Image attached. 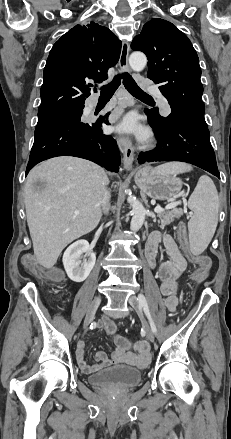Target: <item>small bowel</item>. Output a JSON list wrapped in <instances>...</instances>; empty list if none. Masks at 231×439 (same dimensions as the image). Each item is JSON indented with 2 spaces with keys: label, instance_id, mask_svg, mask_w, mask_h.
I'll use <instances>...</instances> for the list:
<instances>
[{
  "label": "small bowel",
  "instance_id": "small-bowel-1",
  "mask_svg": "<svg viewBox=\"0 0 231 439\" xmlns=\"http://www.w3.org/2000/svg\"><path fill=\"white\" fill-rule=\"evenodd\" d=\"M161 245L169 259L158 266L157 275L161 281V292L165 298V304L170 312H175L178 304L177 281L187 268V257L181 241L178 242L172 236L156 231L149 236L145 248L147 261L152 268H156V257ZM98 326L108 335L113 336L116 347L110 357L103 352H98L95 355L97 364L90 365L85 360L84 344H80L76 351V357L83 372L92 373L102 367L114 364L138 367H144L148 364L150 356L145 341L131 342L117 334L116 324L109 318L102 319Z\"/></svg>",
  "mask_w": 231,
  "mask_h": 439
}]
</instances>
